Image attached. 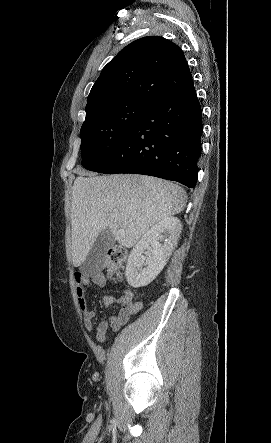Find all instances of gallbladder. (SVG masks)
<instances>
[{"instance_id":"obj_1","label":"gallbladder","mask_w":271,"mask_h":443,"mask_svg":"<svg viewBox=\"0 0 271 443\" xmlns=\"http://www.w3.org/2000/svg\"><path fill=\"white\" fill-rule=\"evenodd\" d=\"M115 237L109 229H104L99 233L92 245L91 251L87 252L88 260L80 261V269L83 273H102L108 268V261L111 259V252L108 249L114 247Z\"/></svg>"}]
</instances>
